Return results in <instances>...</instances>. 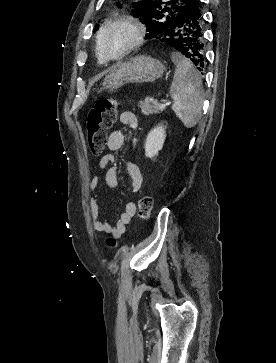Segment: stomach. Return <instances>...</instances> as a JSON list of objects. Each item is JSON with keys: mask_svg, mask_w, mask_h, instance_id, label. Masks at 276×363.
Returning a JSON list of instances; mask_svg holds the SVG:
<instances>
[{"mask_svg": "<svg viewBox=\"0 0 276 363\" xmlns=\"http://www.w3.org/2000/svg\"><path fill=\"white\" fill-rule=\"evenodd\" d=\"M164 64L152 57L136 56L116 65L105 77L102 85L113 92L128 83H153L163 76Z\"/></svg>", "mask_w": 276, "mask_h": 363, "instance_id": "0dacf381", "label": "stomach"}]
</instances>
